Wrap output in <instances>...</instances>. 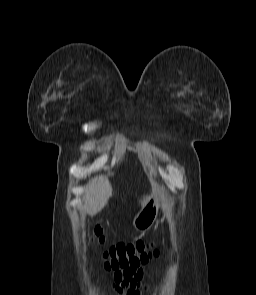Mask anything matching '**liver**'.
Segmentation results:
<instances>
[{
    "mask_svg": "<svg viewBox=\"0 0 256 295\" xmlns=\"http://www.w3.org/2000/svg\"><path fill=\"white\" fill-rule=\"evenodd\" d=\"M157 191V186L153 184V193ZM112 195V187L108 179L100 175L94 177L89 181L84 194V204L80 207V211L85 214L95 215L102 210L108 202L109 197ZM150 196H145L141 200V205L144 206Z\"/></svg>",
    "mask_w": 256,
    "mask_h": 295,
    "instance_id": "liver-1",
    "label": "liver"
}]
</instances>
